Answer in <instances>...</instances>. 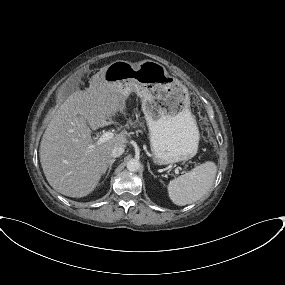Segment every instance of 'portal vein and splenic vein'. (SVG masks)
Instances as JSON below:
<instances>
[{
	"instance_id": "obj_1",
	"label": "portal vein and splenic vein",
	"mask_w": 285,
	"mask_h": 285,
	"mask_svg": "<svg viewBox=\"0 0 285 285\" xmlns=\"http://www.w3.org/2000/svg\"><path fill=\"white\" fill-rule=\"evenodd\" d=\"M113 137H114V133H112L111 131H107L100 136V138L96 142V145L103 144L107 142L108 140L112 139ZM175 173L179 174V170L175 169Z\"/></svg>"
}]
</instances>
